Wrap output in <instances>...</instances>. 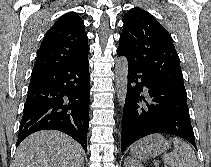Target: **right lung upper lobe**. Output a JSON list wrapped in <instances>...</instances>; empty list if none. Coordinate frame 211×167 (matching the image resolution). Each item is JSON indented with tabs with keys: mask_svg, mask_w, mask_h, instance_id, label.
<instances>
[{
	"mask_svg": "<svg viewBox=\"0 0 211 167\" xmlns=\"http://www.w3.org/2000/svg\"><path fill=\"white\" fill-rule=\"evenodd\" d=\"M89 53L84 23L75 12L62 15L47 31L37 52L32 75L79 62Z\"/></svg>",
	"mask_w": 211,
	"mask_h": 167,
	"instance_id": "cb5924a9",
	"label": "right lung upper lobe"
}]
</instances>
